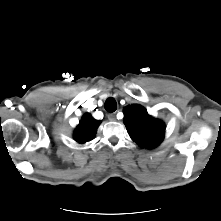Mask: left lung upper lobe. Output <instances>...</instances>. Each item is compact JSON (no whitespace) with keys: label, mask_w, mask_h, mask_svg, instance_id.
I'll return each instance as SVG.
<instances>
[{"label":"left lung upper lobe","mask_w":221,"mask_h":221,"mask_svg":"<svg viewBox=\"0 0 221 221\" xmlns=\"http://www.w3.org/2000/svg\"><path fill=\"white\" fill-rule=\"evenodd\" d=\"M123 112L128 134L140 147L152 149L162 142L165 125L148 115L144 107L133 104L125 107Z\"/></svg>","instance_id":"obj_1"}]
</instances>
